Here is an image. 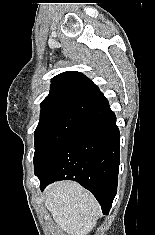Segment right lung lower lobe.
Returning a JSON list of instances; mask_svg holds the SVG:
<instances>
[{"label": "right lung lower lobe", "mask_w": 155, "mask_h": 235, "mask_svg": "<svg viewBox=\"0 0 155 235\" xmlns=\"http://www.w3.org/2000/svg\"><path fill=\"white\" fill-rule=\"evenodd\" d=\"M88 97L93 103L98 121L77 134L52 162L35 172L43 190L59 180H74L88 189L108 214L116 195L120 163V133L116 117L97 86Z\"/></svg>", "instance_id": "right-lung-lower-lobe-1"}]
</instances>
